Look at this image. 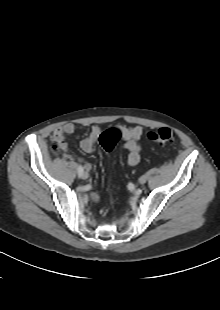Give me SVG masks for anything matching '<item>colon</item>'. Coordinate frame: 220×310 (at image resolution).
I'll return each mask as SVG.
<instances>
[{"label":"colon","instance_id":"colon-1","mask_svg":"<svg viewBox=\"0 0 220 310\" xmlns=\"http://www.w3.org/2000/svg\"><path fill=\"white\" fill-rule=\"evenodd\" d=\"M121 137L122 133L120 129L110 128L100 134L99 143L105 151L111 152ZM147 138L154 142L167 144L173 142L174 134L171 129L162 127L156 130L149 131L147 133ZM52 150L57 153L59 148L56 144H54L52 146Z\"/></svg>","mask_w":220,"mask_h":310}]
</instances>
